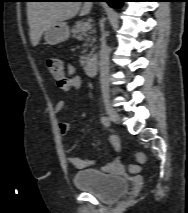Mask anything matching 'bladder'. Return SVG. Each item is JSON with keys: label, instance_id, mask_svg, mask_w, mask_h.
Listing matches in <instances>:
<instances>
[{"label": "bladder", "instance_id": "31cf9c89", "mask_svg": "<svg viewBox=\"0 0 188 213\" xmlns=\"http://www.w3.org/2000/svg\"><path fill=\"white\" fill-rule=\"evenodd\" d=\"M72 181L77 188L97 196L104 202L116 200L128 188V181L125 178L108 175L95 169L76 172Z\"/></svg>", "mask_w": 188, "mask_h": 213}]
</instances>
